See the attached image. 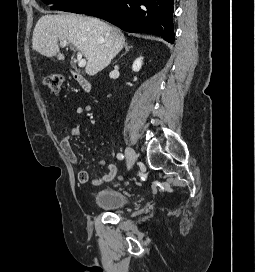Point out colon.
<instances>
[{"instance_id":"obj_1","label":"colon","mask_w":255,"mask_h":272,"mask_svg":"<svg viewBox=\"0 0 255 272\" xmlns=\"http://www.w3.org/2000/svg\"><path fill=\"white\" fill-rule=\"evenodd\" d=\"M62 82L63 76L60 73H47L42 77L44 87L54 96L60 93Z\"/></svg>"}]
</instances>
